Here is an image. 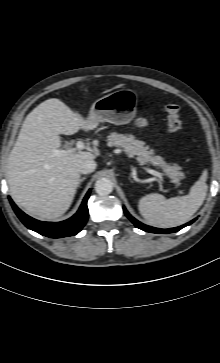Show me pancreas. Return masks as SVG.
<instances>
[{
	"instance_id": "1",
	"label": "pancreas",
	"mask_w": 220,
	"mask_h": 363,
	"mask_svg": "<svg viewBox=\"0 0 220 363\" xmlns=\"http://www.w3.org/2000/svg\"><path fill=\"white\" fill-rule=\"evenodd\" d=\"M107 144L108 146L122 148L129 157L137 156L136 159L141 165L149 163L159 166L174 182H179L184 178V174L179 171L180 167L178 165H169L162 157L155 155L153 150H149L144 142L136 140L132 135L111 133L108 136Z\"/></svg>"
}]
</instances>
